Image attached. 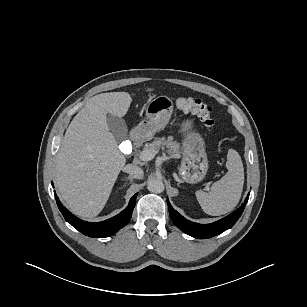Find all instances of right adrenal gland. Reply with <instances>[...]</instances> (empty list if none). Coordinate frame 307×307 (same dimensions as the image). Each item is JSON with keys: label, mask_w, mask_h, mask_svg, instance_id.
<instances>
[{"label": "right adrenal gland", "mask_w": 307, "mask_h": 307, "mask_svg": "<svg viewBox=\"0 0 307 307\" xmlns=\"http://www.w3.org/2000/svg\"><path fill=\"white\" fill-rule=\"evenodd\" d=\"M129 181H130V183L133 181V179H134V177L133 176H131V175H129L128 177H126Z\"/></svg>", "instance_id": "2a0ac1e0"}]
</instances>
